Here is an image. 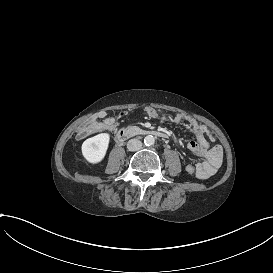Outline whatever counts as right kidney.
Segmentation results:
<instances>
[{
	"mask_svg": "<svg viewBox=\"0 0 273 273\" xmlns=\"http://www.w3.org/2000/svg\"><path fill=\"white\" fill-rule=\"evenodd\" d=\"M110 136L107 133H101L88 138L82 144V154L90 163L100 162L107 151Z\"/></svg>",
	"mask_w": 273,
	"mask_h": 273,
	"instance_id": "right-kidney-1",
	"label": "right kidney"
}]
</instances>
